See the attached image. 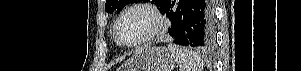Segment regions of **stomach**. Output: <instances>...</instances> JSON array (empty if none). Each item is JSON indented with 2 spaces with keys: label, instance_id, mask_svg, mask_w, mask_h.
Wrapping results in <instances>:
<instances>
[{
  "label": "stomach",
  "instance_id": "0dacf381",
  "mask_svg": "<svg viewBox=\"0 0 301 71\" xmlns=\"http://www.w3.org/2000/svg\"><path fill=\"white\" fill-rule=\"evenodd\" d=\"M175 62L168 49L148 46L136 51L120 71H172Z\"/></svg>",
  "mask_w": 301,
  "mask_h": 71
}]
</instances>
